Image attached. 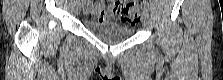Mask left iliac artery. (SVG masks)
I'll use <instances>...</instances> for the list:
<instances>
[{"label": "left iliac artery", "mask_w": 223, "mask_h": 80, "mask_svg": "<svg viewBox=\"0 0 223 80\" xmlns=\"http://www.w3.org/2000/svg\"><path fill=\"white\" fill-rule=\"evenodd\" d=\"M145 10L148 12L149 11V6L148 4H145Z\"/></svg>", "instance_id": "left-iliac-artery-1"}]
</instances>
